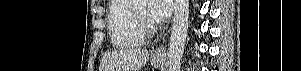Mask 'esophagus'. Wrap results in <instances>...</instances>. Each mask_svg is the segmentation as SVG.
I'll list each match as a JSON object with an SVG mask.
<instances>
[{"mask_svg":"<svg viewBox=\"0 0 301 71\" xmlns=\"http://www.w3.org/2000/svg\"><path fill=\"white\" fill-rule=\"evenodd\" d=\"M166 56V45L159 46L153 53V57L156 59H162Z\"/></svg>","mask_w":301,"mask_h":71,"instance_id":"obj_1","label":"esophagus"}]
</instances>
